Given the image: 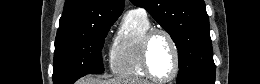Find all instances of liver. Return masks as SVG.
<instances>
[{"mask_svg":"<svg viewBox=\"0 0 260 84\" xmlns=\"http://www.w3.org/2000/svg\"><path fill=\"white\" fill-rule=\"evenodd\" d=\"M78 84H150L148 81L141 79H120L114 78L109 80H101L87 76L79 80Z\"/></svg>","mask_w":260,"mask_h":84,"instance_id":"obj_1","label":"liver"}]
</instances>
